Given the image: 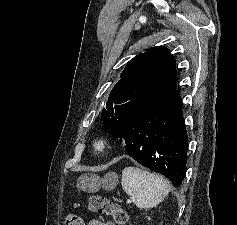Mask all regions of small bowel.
Instances as JSON below:
<instances>
[{
    "label": "small bowel",
    "instance_id": "c3829d8e",
    "mask_svg": "<svg viewBox=\"0 0 237 225\" xmlns=\"http://www.w3.org/2000/svg\"><path fill=\"white\" fill-rule=\"evenodd\" d=\"M87 225H115L111 221H105L102 218H92L89 220Z\"/></svg>",
    "mask_w": 237,
    "mask_h": 225
}]
</instances>
